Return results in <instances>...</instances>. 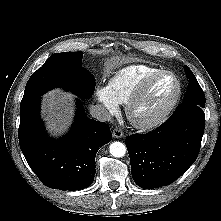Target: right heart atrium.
Listing matches in <instances>:
<instances>
[{"label": "right heart atrium", "instance_id": "1", "mask_svg": "<svg viewBox=\"0 0 221 221\" xmlns=\"http://www.w3.org/2000/svg\"><path fill=\"white\" fill-rule=\"evenodd\" d=\"M95 96L106 116L118 113L119 104L114 100L107 86H98L95 90Z\"/></svg>", "mask_w": 221, "mask_h": 221}]
</instances>
